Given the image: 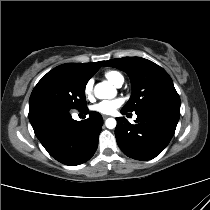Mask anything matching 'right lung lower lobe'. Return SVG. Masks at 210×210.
<instances>
[{
  "instance_id": "right-lung-lower-lobe-1",
  "label": "right lung lower lobe",
  "mask_w": 210,
  "mask_h": 210,
  "mask_svg": "<svg viewBox=\"0 0 210 210\" xmlns=\"http://www.w3.org/2000/svg\"><path fill=\"white\" fill-rule=\"evenodd\" d=\"M82 111L87 114L88 108ZM30 122L36 137L52 157L76 166L94 155L103 119L97 112H89V118L83 121L73 120L69 113L56 112Z\"/></svg>"
}]
</instances>
